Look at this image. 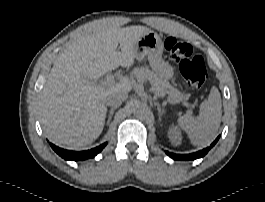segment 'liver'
<instances>
[{
  "label": "liver",
  "instance_id": "liver-1",
  "mask_svg": "<svg viewBox=\"0 0 265 202\" xmlns=\"http://www.w3.org/2000/svg\"><path fill=\"white\" fill-rule=\"evenodd\" d=\"M149 32L145 26L119 28L98 20L62 51L38 101L40 122L52 143L78 149L99 137L107 113L106 96L115 90L130 92L133 80L124 77L103 85L98 79L119 66L132 67L137 42Z\"/></svg>",
  "mask_w": 265,
  "mask_h": 202
}]
</instances>
